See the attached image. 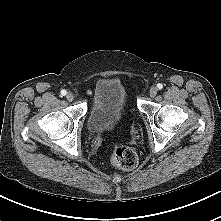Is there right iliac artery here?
I'll use <instances>...</instances> for the list:
<instances>
[{"label": "right iliac artery", "instance_id": "1", "mask_svg": "<svg viewBox=\"0 0 221 221\" xmlns=\"http://www.w3.org/2000/svg\"><path fill=\"white\" fill-rule=\"evenodd\" d=\"M66 93H67V92H66L65 90H62V91H61V95H62V96H65Z\"/></svg>", "mask_w": 221, "mask_h": 221}]
</instances>
